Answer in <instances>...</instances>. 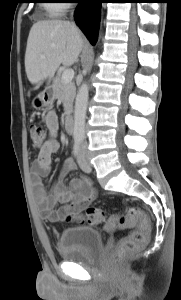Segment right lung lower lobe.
<instances>
[{"label": "right lung lower lobe", "instance_id": "98d812e1", "mask_svg": "<svg viewBox=\"0 0 181 300\" xmlns=\"http://www.w3.org/2000/svg\"><path fill=\"white\" fill-rule=\"evenodd\" d=\"M75 21L92 45L97 40L102 0H79Z\"/></svg>", "mask_w": 181, "mask_h": 300}]
</instances>
